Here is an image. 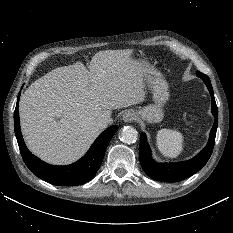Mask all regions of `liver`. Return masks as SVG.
Listing matches in <instances>:
<instances>
[{
  "mask_svg": "<svg viewBox=\"0 0 233 233\" xmlns=\"http://www.w3.org/2000/svg\"><path fill=\"white\" fill-rule=\"evenodd\" d=\"M132 53L99 51L89 69L79 61L32 83L19 102L29 150L51 164L73 163L101 133L100 117L144 101L146 65L133 59Z\"/></svg>",
  "mask_w": 233,
  "mask_h": 233,
  "instance_id": "1",
  "label": "liver"
}]
</instances>
